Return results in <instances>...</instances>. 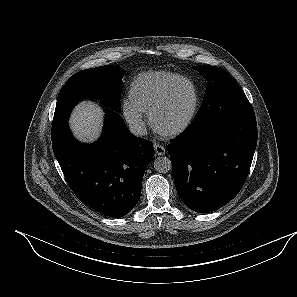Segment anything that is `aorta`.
I'll return each instance as SVG.
<instances>
[{
    "mask_svg": "<svg viewBox=\"0 0 297 297\" xmlns=\"http://www.w3.org/2000/svg\"><path fill=\"white\" fill-rule=\"evenodd\" d=\"M171 168V160L168 157H157L154 160V169L159 173H167Z\"/></svg>",
    "mask_w": 297,
    "mask_h": 297,
    "instance_id": "762f6f07",
    "label": "aorta"
}]
</instances>
